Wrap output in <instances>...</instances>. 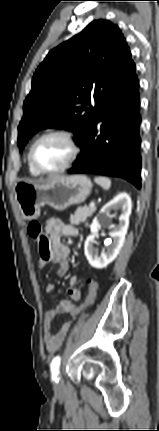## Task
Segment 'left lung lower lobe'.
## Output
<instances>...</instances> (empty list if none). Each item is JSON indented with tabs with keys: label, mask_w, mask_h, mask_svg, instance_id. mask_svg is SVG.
I'll return each mask as SVG.
<instances>
[{
	"label": "left lung lower lobe",
	"mask_w": 159,
	"mask_h": 431,
	"mask_svg": "<svg viewBox=\"0 0 159 431\" xmlns=\"http://www.w3.org/2000/svg\"><path fill=\"white\" fill-rule=\"evenodd\" d=\"M139 80L132 63L91 120L79 144L81 154L68 173L126 179L141 188Z\"/></svg>",
	"instance_id": "left-lung-lower-lobe-1"
}]
</instances>
